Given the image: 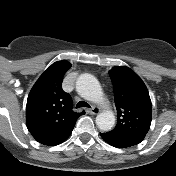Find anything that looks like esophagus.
I'll return each mask as SVG.
<instances>
[{
  "instance_id": "1",
  "label": "esophagus",
  "mask_w": 176,
  "mask_h": 176,
  "mask_svg": "<svg viewBox=\"0 0 176 176\" xmlns=\"http://www.w3.org/2000/svg\"><path fill=\"white\" fill-rule=\"evenodd\" d=\"M89 114H98L100 109L98 107L92 106L90 109L87 110Z\"/></svg>"
}]
</instances>
